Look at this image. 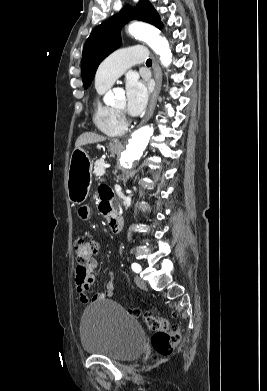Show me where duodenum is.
<instances>
[{
	"mask_svg": "<svg viewBox=\"0 0 267 391\" xmlns=\"http://www.w3.org/2000/svg\"><path fill=\"white\" fill-rule=\"evenodd\" d=\"M102 211L107 215L108 225L113 233H118L123 225V220L116 210H111L107 203L101 204Z\"/></svg>",
	"mask_w": 267,
	"mask_h": 391,
	"instance_id": "1",
	"label": "duodenum"
}]
</instances>
